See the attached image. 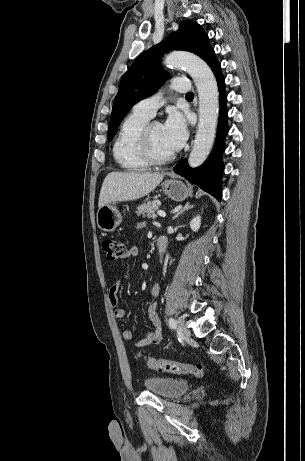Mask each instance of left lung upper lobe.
I'll use <instances>...</instances> for the list:
<instances>
[{
    "label": "left lung upper lobe",
    "instance_id": "1",
    "mask_svg": "<svg viewBox=\"0 0 305 461\" xmlns=\"http://www.w3.org/2000/svg\"><path fill=\"white\" fill-rule=\"evenodd\" d=\"M170 50H185L201 57L209 65L215 58L209 38L196 22L183 21L178 31L156 46L143 52L130 66L121 79L108 128V140L114 137L119 124L137 102L155 93L168 79L160 61L162 55Z\"/></svg>",
    "mask_w": 305,
    "mask_h": 461
}]
</instances>
